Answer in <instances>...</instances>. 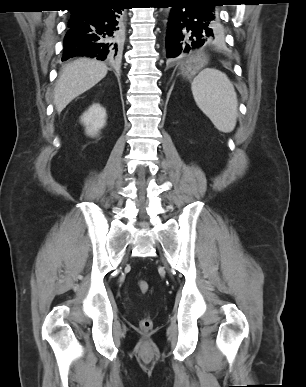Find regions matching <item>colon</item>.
<instances>
[{"mask_svg": "<svg viewBox=\"0 0 306 387\" xmlns=\"http://www.w3.org/2000/svg\"><path fill=\"white\" fill-rule=\"evenodd\" d=\"M137 286H138L139 291L142 294H146L149 291V284L145 280H139L137 282ZM152 326H153V322L150 318H143L140 321V328L143 331H149L152 328Z\"/></svg>", "mask_w": 306, "mask_h": 387, "instance_id": "colon-1", "label": "colon"}]
</instances>
